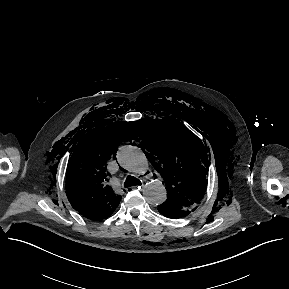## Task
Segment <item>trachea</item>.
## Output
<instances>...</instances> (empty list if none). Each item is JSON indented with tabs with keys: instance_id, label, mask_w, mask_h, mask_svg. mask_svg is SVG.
<instances>
[{
	"instance_id": "obj_1",
	"label": "trachea",
	"mask_w": 289,
	"mask_h": 289,
	"mask_svg": "<svg viewBox=\"0 0 289 289\" xmlns=\"http://www.w3.org/2000/svg\"><path fill=\"white\" fill-rule=\"evenodd\" d=\"M136 185H141V182L139 179H137L133 176H128L124 182L125 188H129L131 186H136Z\"/></svg>"
}]
</instances>
